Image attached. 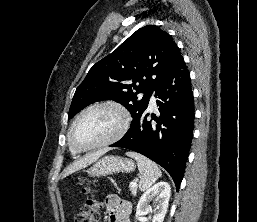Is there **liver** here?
Segmentation results:
<instances>
[{
  "label": "liver",
  "instance_id": "6515ba94",
  "mask_svg": "<svg viewBox=\"0 0 257 222\" xmlns=\"http://www.w3.org/2000/svg\"><path fill=\"white\" fill-rule=\"evenodd\" d=\"M109 149H102L99 150L95 153H92L90 155H87L84 158H81L77 161H75L74 163H72L69 167H67L64 171L63 177H66L82 168L87 167L88 165H90L91 163L95 162L96 160H98L102 155H104L106 152H108Z\"/></svg>",
  "mask_w": 257,
  "mask_h": 222
}]
</instances>
